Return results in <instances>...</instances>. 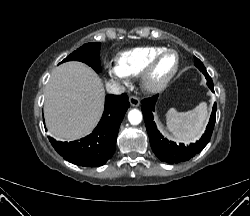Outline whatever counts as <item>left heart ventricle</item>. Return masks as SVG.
<instances>
[{
  "instance_id": "1",
  "label": "left heart ventricle",
  "mask_w": 250,
  "mask_h": 216,
  "mask_svg": "<svg viewBox=\"0 0 250 216\" xmlns=\"http://www.w3.org/2000/svg\"><path fill=\"white\" fill-rule=\"evenodd\" d=\"M176 63V58L173 54H167L163 56L153 73V80L156 82L162 81L164 78H166L170 72L173 70Z\"/></svg>"
}]
</instances>
